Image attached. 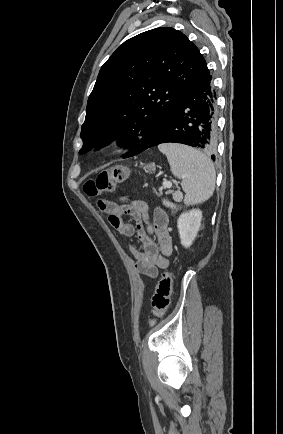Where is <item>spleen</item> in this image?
<instances>
[{
	"label": "spleen",
	"instance_id": "3e777b00",
	"mask_svg": "<svg viewBox=\"0 0 283 434\" xmlns=\"http://www.w3.org/2000/svg\"><path fill=\"white\" fill-rule=\"evenodd\" d=\"M174 176L182 179L186 206L200 204L208 200L215 188L216 173L211 160L197 149L180 144H161ZM164 205L176 209L170 202Z\"/></svg>",
	"mask_w": 283,
	"mask_h": 434
}]
</instances>
